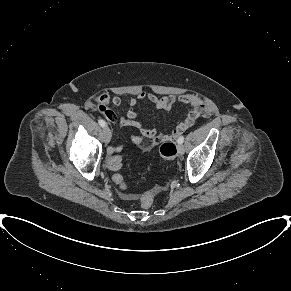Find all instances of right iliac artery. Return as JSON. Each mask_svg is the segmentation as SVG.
Segmentation results:
<instances>
[{
    "instance_id": "obj_1",
    "label": "right iliac artery",
    "mask_w": 291,
    "mask_h": 291,
    "mask_svg": "<svg viewBox=\"0 0 291 291\" xmlns=\"http://www.w3.org/2000/svg\"><path fill=\"white\" fill-rule=\"evenodd\" d=\"M98 123L101 127H105L106 126V122L102 119L98 120Z\"/></svg>"
}]
</instances>
